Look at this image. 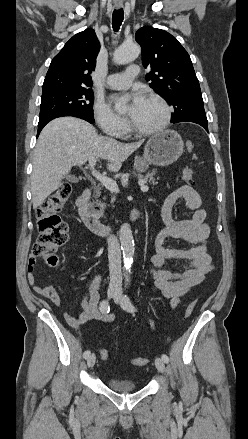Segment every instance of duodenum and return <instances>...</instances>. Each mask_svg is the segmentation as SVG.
Masks as SVG:
<instances>
[{
  "label": "duodenum",
  "instance_id": "duodenum-1",
  "mask_svg": "<svg viewBox=\"0 0 248 439\" xmlns=\"http://www.w3.org/2000/svg\"><path fill=\"white\" fill-rule=\"evenodd\" d=\"M92 189L87 187L78 197L76 204L82 222L93 233L110 234L115 225L101 222L100 208L91 203ZM142 213L139 209H134L129 215V221L134 222L141 217Z\"/></svg>",
  "mask_w": 248,
  "mask_h": 439
}]
</instances>
